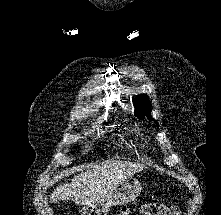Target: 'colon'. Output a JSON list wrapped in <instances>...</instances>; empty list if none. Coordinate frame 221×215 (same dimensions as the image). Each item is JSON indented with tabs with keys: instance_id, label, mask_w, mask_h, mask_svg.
Returning <instances> with one entry per match:
<instances>
[{
	"instance_id": "5ec220e1",
	"label": "colon",
	"mask_w": 221,
	"mask_h": 215,
	"mask_svg": "<svg viewBox=\"0 0 221 215\" xmlns=\"http://www.w3.org/2000/svg\"><path fill=\"white\" fill-rule=\"evenodd\" d=\"M143 215H183L177 201L170 204L149 203L142 207ZM117 215H129V210L124 208Z\"/></svg>"
}]
</instances>
